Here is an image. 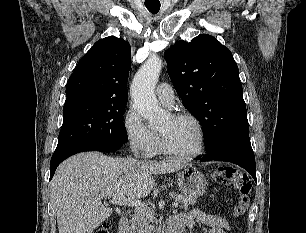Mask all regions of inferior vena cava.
<instances>
[{
    "mask_svg": "<svg viewBox=\"0 0 306 233\" xmlns=\"http://www.w3.org/2000/svg\"><path fill=\"white\" fill-rule=\"evenodd\" d=\"M134 155H135V157H138V152H136Z\"/></svg>",
    "mask_w": 306,
    "mask_h": 233,
    "instance_id": "602c4592",
    "label": "inferior vena cava"
}]
</instances>
